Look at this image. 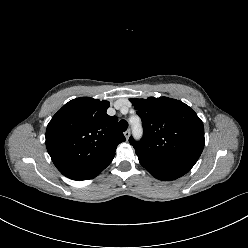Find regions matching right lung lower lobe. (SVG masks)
Segmentation results:
<instances>
[{
    "label": "right lung lower lobe",
    "mask_w": 248,
    "mask_h": 248,
    "mask_svg": "<svg viewBox=\"0 0 248 248\" xmlns=\"http://www.w3.org/2000/svg\"><path fill=\"white\" fill-rule=\"evenodd\" d=\"M108 166V165H107ZM107 166L100 167L91 171H84V172H65L62 173L66 177L73 179V180H87L96 177L102 170H104Z\"/></svg>",
    "instance_id": "right-lung-lower-lobe-1"
}]
</instances>
